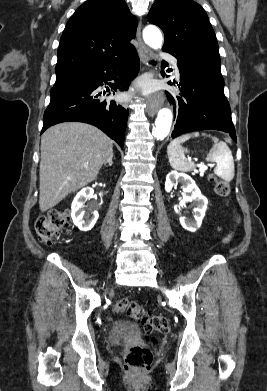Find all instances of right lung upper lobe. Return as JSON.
I'll use <instances>...</instances> for the list:
<instances>
[{
	"mask_svg": "<svg viewBox=\"0 0 267 391\" xmlns=\"http://www.w3.org/2000/svg\"><path fill=\"white\" fill-rule=\"evenodd\" d=\"M137 19L124 0H88L66 24L58 48L56 77L121 58L135 50Z\"/></svg>",
	"mask_w": 267,
	"mask_h": 391,
	"instance_id": "right-lung-upper-lobe-1",
	"label": "right lung upper lobe"
}]
</instances>
